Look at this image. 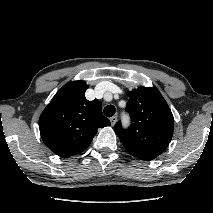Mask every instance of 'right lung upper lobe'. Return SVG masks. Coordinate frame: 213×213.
Segmentation results:
<instances>
[{"mask_svg":"<svg viewBox=\"0 0 213 213\" xmlns=\"http://www.w3.org/2000/svg\"><path fill=\"white\" fill-rule=\"evenodd\" d=\"M84 81L64 85L46 106L39 119L43 142L60 157L85 150L98 128L110 125L99 100L88 101Z\"/></svg>","mask_w":213,"mask_h":213,"instance_id":"1","label":"right lung upper lobe"}]
</instances>
